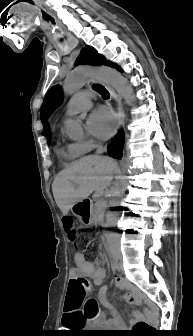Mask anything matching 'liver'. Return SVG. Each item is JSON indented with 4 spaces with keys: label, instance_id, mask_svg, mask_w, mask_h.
Instances as JSON below:
<instances>
[{
    "label": "liver",
    "instance_id": "6515ba94",
    "mask_svg": "<svg viewBox=\"0 0 193 336\" xmlns=\"http://www.w3.org/2000/svg\"><path fill=\"white\" fill-rule=\"evenodd\" d=\"M115 168V161L109 157L88 155L62 170L52 184L62 214H68L73 204L87 199L93 192L103 194Z\"/></svg>",
    "mask_w": 193,
    "mask_h": 336
}]
</instances>
